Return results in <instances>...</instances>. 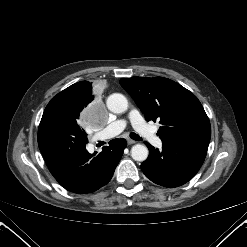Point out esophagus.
Here are the masks:
<instances>
[{
  "mask_svg": "<svg viewBox=\"0 0 247 247\" xmlns=\"http://www.w3.org/2000/svg\"><path fill=\"white\" fill-rule=\"evenodd\" d=\"M127 143H128V145H131V144L136 143V141H134V140L128 138V139H127Z\"/></svg>",
  "mask_w": 247,
  "mask_h": 247,
  "instance_id": "obj_1",
  "label": "esophagus"
}]
</instances>
